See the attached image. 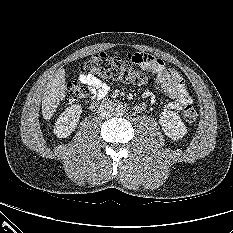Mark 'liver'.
Here are the masks:
<instances>
[{
	"mask_svg": "<svg viewBox=\"0 0 233 233\" xmlns=\"http://www.w3.org/2000/svg\"><path fill=\"white\" fill-rule=\"evenodd\" d=\"M65 83V70L60 68L55 77L50 80L42 99V115L45 120L53 116L60 100L65 97Z\"/></svg>",
	"mask_w": 233,
	"mask_h": 233,
	"instance_id": "liver-1",
	"label": "liver"
}]
</instances>
